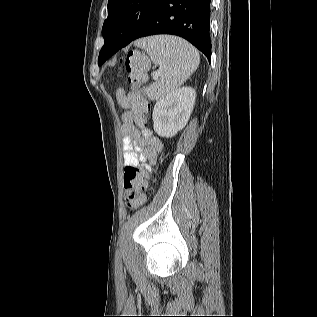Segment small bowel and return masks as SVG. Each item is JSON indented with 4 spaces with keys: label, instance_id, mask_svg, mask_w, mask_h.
<instances>
[{
    "label": "small bowel",
    "instance_id": "small-bowel-1",
    "mask_svg": "<svg viewBox=\"0 0 317 317\" xmlns=\"http://www.w3.org/2000/svg\"><path fill=\"white\" fill-rule=\"evenodd\" d=\"M118 104L124 109L121 116L123 134V164L139 166L140 163L154 164L163 148L160 138L153 135L141 125L142 114L149 108V104L137 92H126L118 89L116 92Z\"/></svg>",
    "mask_w": 317,
    "mask_h": 317
}]
</instances>
